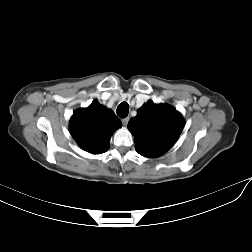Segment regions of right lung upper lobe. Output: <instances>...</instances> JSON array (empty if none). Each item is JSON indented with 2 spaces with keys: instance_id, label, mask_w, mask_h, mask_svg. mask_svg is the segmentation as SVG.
Returning a JSON list of instances; mask_svg holds the SVG:
<instances>
[{
  "instance_id": "1",
  "label": "right lung upper lobe",
  "mask_w": 252,
  "mask_h": 252,
  "mask_svg": "<svg viewBox=\"0 0 252 252\" xmlns=\"http://www.w3.org/2000/svg\"><path fill=\"white\" fill-rule=\"evenodd\" d=\"M121 127V121L113 110L94 100L89 107L73 113L69 131L83 150L101 154L107 151L113 132Z\"/></svg>"
}]
</instances>
